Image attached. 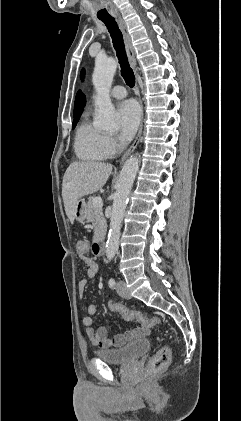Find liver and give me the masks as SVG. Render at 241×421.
<instances>
[{
  "label": "liver",
  "mask_w": 241,
  "mask_h": 421,
  "mask_svg": "<svg viewBox=\"0 0 241 421\" xmlns=\"http://www.w3.org/2000/svg\"><path fill=\"white\" fill-rule=\"evenodd\" d=\"M111 171L112 165L104 162H73L69 165L63 177L62 197L71 224L78 200L100 190Z\"/></svg>",
  "instance_id": "6515ba94"
}]
</instances>
